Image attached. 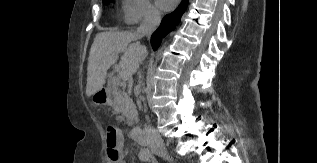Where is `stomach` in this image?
<instances>
[{
  "instance_id": "stomach-1",
  "label": "stomach",
  "mask_w": 317,
  "mask_h": 163,
  "mask_svg": "<svg viewBox=\"0 0 317 163\" xmlns=\"http://www.w3.org/2000/svg\"><path fill=\"white\" fill-rule=\"evenodd\" d=\"M91 101L95 106L105 105L108 102V94L101 89L92 95Z\"/></svg>"
}]
</instances>
